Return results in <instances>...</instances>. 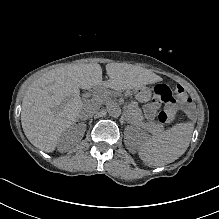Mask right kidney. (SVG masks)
<instances>
[{
	"instance_id": "obj_1",
	"label": "right kidney",
	"mask_w": 219,
	"mask_h": 219,
	"mask_svg": "<svg viewBox=\"0 0 219 219\" xmlns=\"http://www.w3.org/2000/svg\"><path fill=\"white\" fill-rule=\"evenodd\" d=\"M75 131H77V130L72 128L70 131H68L67 134L63 133V134L60 135V138H59V141H58L59 143H58V147H57V150L59 152H61V153L66 152L69 149V144L66 143L65 136H68L69 141L73 142L72 138L73 137L77 138V136L75 135ZM82 137H83V135L80 134V136L77 138V140L80 141L82 139Z\"/></svg>"
}]
</instances>
